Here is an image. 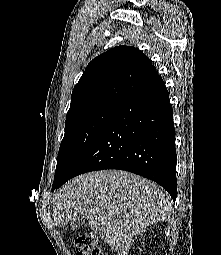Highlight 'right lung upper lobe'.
I'll list each match as a JSON object with an SVG mask.
<instances>
[{
    "label": "right lung upper lobe",
    "mask_w": 221,
    "mask_h": 255,
    "mask_svg": "<svg viewBox=\"0 0 221 255\" xmlns=\"http://www.w3.org/2000/svg\"><path fill=\"white\" fill-rule=\"evenodd\" d=\"M160 78L140 50L119 46L94 58L73 89L67 116L107 104L121 105Z\"/></svg>",
    "instance_id": "obj_1"
}]
</instances>
